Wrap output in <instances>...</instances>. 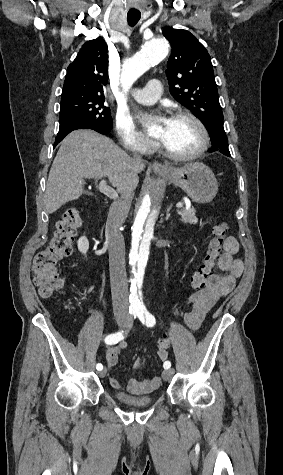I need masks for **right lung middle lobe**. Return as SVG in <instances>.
<instances>
[{
	"label": "right lung middle lobe",
	"mask_w": 283,
	"mask_h": 475,
	"mask_svg": "<svg viewBox=\"0 0 283 475\" xmlns=\"http://www.w3.org/2000/svg\"><path fill=\"white\" fill-rule=\"evenodd\" d=\"M104 102V95H62L60 123L78 119L95 126L112 129L110 109L104 106Z\"/></svg>",
	"instance_id": "obj_1"
}]
</instances>
